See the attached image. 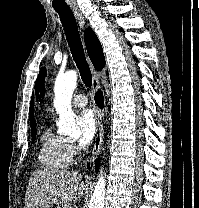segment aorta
<instances>
[{
  "label": "aorta",
  "instance_id": "762f6f07",
  "mask_svg": "<svg viewBox=\"0 0 199 208\" xmlns=\"http://www.w3.org/2000/svg\"><path fill=\"white\" fill-rule=\"evenodd\" d=\"M77 84L76 71H68L57 77L54 86V106L59 114L57 122L58 133L67 136H76L80 130L76 127L74 113L71 108V100ZM106 194V180L101 171L94 187L89 208H104Z\"/></svg>",
  "mask_w": 199,
  "mask_h": 208
}]
</instances>
